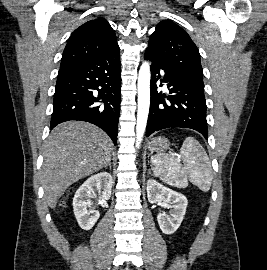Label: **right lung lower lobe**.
I'll use <instances>...</instances> for the list:
<instances>
[{
    "label": "right lung lower lobe",
    "instance_id": "1",
    "mask_svg": "<svg viewBox=\"0 0 267 270\" xmlns=\"http://www.w3.org/2000/svg\"><path fill=\"white\" fill-rule=\"evenodd\" d=\"M119 51L61 67L50 127L69 120L90 122L117 142L121 67Z\"/></svg>",
    "mask_w": 267,
    "mask_h": 270
}]
</instances>
